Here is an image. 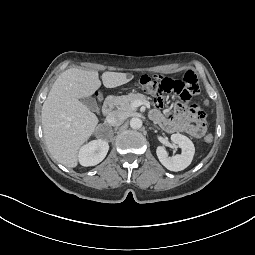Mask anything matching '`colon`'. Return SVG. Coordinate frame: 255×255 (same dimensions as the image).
Here are the masks:
<instances>
[{
	"label": "colon",
	"instance_id": "1",
	"mask_svg": "<svg viewBox=\"0 0 255 255\" xmlns=\"http://www.w3.org/2000/svg\"><path fill=\"white\" fill-rule=\"evenodd\" d=\"M139 85L149 93L156 96V103L162 102L163 94H172L177 97L180 106L184 107L190 98L199 91L197 76L193 71H188L182 80H172L160 75H142L138 80ZM195 117L203 123L204 112L196 105H190ZM214 139L212 133H207L205 142L210 143Z\"/></svg>",
	"mask_w": 255,
	"mask_h": 255
}]
</instances>
